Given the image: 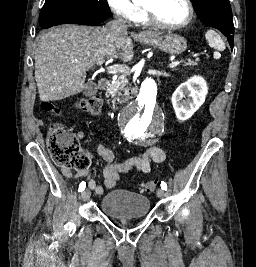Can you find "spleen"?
<instances>
[{
    "mask_svg": "<svg viewBox=\"0 0 256 267\" xmlns=\"http://www.w3.org/2000/svg\"><path fill=\"white\" fill-rule=\"evenodd\" d=\"M205 38L210 48H215V50H220V52H222V50H225V44L222 38H220L219 34H217V32H214V30H207ZM214 56L215 58H218L220 54H214Z\"/></svg>",
    "mask_w": 256,
    "mask_h": 267,
    "instance_id": "3e777b00",
    "label": "spleen"
}]
</instances>
